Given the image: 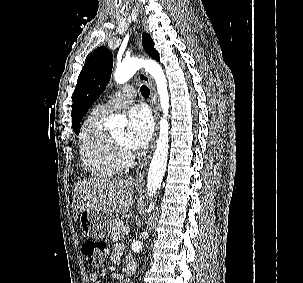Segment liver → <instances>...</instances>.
Instances as JSON below:
<instances>
[{"label":"liver","mask_w":303,"mask_h":283,"mask_svg":"<svg viewBox=\"0 0 303 283\" xmlns=\"http://www.w3.org/2000/svg\"><path fill=\"white\" fill-rule=\"evenodd\" d=\"M133 183L131 177L80 180L74 189V219L87 209L110 214L127 213L133 203Z\"/></svg>","instance_id":"liver-1"}]
</instances>
